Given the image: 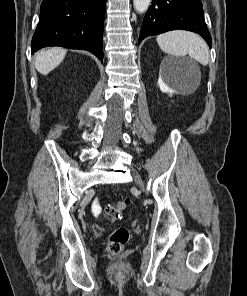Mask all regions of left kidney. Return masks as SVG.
<instances>
[{"instance_id":"left-kidney-1","label":"left kidney","mask_w":247,"mask_h":296,"mask_svg":"<svg viewBox=\"0 0 247 296\" xmlns=\"http://www.w3.org/2000/svg\"><path fill=\"white\" fill-rule=\"evenodd\" d=\"M165 73L160 72L158 85L163 93L175 94V85L179 80L188 81L189 75L184 72L183 62L178 59H165L163 61Z\"/></svg>"}]
</instances>
